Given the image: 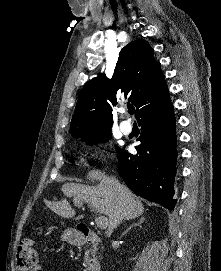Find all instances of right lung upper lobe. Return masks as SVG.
<instances>
[{"label": "right lung upper lobe", "instance_id": "cb5924a9", "mask_svg": "<svg viewBox=\"0 0 221 271\" xmlns=\"http://www.w3.org/2000/svg\"><path fill=\"white\" fill-rule=\"evenodd\" d=\"M117 95L136 106L138 119L170 101L160 63L153 58L147 41L138 39L122 48L111 80L99 74L86 83L72 117L71 135L77 138L110 130L111 104H117Z\"/></svg>", "mask_w": 221, "mask_h": 271}]
</instances>
